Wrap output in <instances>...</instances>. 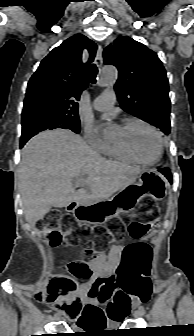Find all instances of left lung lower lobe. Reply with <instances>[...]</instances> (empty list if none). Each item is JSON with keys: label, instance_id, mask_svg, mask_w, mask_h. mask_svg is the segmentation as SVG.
Here are the masks:
<instances>
[{"label": "left lung lower lobe", "instance_id": "obj_1", "mask_svg": "<svg viewBox=\"0 0 194 336\" xmlns=\"http://www.w3.org/2000/svg\"><path fill=\"white\" fill-rule=\"evenodd\" d=\"M159 171L162 172L168 178V180L172 183V176H171L169 169L163 168V169H159Z\"/></svg>", "mask_w": 194, "mask_h": 336}]
</instances>
